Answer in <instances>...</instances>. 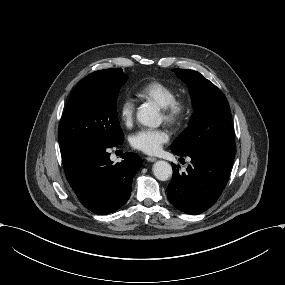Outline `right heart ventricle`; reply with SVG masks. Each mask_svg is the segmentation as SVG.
I'll return each instance as SVG.
<instances>
[{
	"label": "right heart ventricle",
	"instance_id": "right-heart-ventricle-1",
	"mask_svg": "<svg viewBox=\"0 0 285 285\" xmlns=\"http://www.w3.org/2000/svg\"><path fill=\"white\" fill-rule=\"evenodd\" d=\"M176 91L172 84L154 79L138 88L136 94L141 100H146L162 106L167 103Z\"/></svg>",
	"mask_w": 285,
	"mask_h": 285
}]
</instances>
